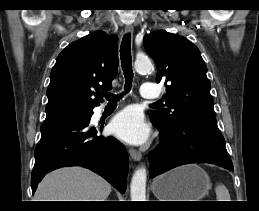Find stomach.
I'll return each mask as SVG.
<instances>
[{
    "mask_svg": "<svg viewBox=\"0 0 259 211\" xmlns=\"http://www.w3.org/2000/svg\"><path fill=\"white\" fill-rule=\"evenodd\" d=\"M210 188L208 174L196 164L175 168L152 184V191L159 201H200Z\"/></svg>",
    "mask_w": 259,
    "mask_h": 211,
    "instance_id": "stomach-1",
    "label": "stomach"
}]
</instances>
